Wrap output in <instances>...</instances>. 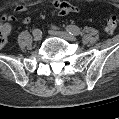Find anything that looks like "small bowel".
Returning a JSON list of instances; mask_svg holds the SVG:
<instances>
[{"label":"small bowel","instance_id":"obj_1","mask_svg":"<svg viewBox=\"0 0 119 119\" xmlns=\"http://www.w3.org/2000/svg\"><path fill=\"white\" fill-rule=\"evenodd\" d=\"M52 6L55 9V11L60 15H66V14H69V13L78 12V10H79L77 6H75L71 3H68L66 1H60V0L53 1ZM27 9H28L27 4H19L15 7V11L17 13L25 12V11H27ZM2 19H3V21H5L3 26L6 27V29L8 31V35L10 34V31H11V26L8 22L19 20L23 24L30 23V18L29 17H19L18 18L14 15H3Z\"/></svg>","mask_w":119,"mask_h":119}]
</instances>
